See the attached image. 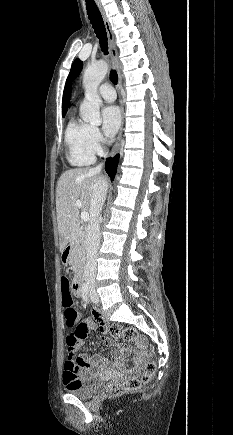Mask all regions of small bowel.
Listing matches in <instances>:
<instances>
[{
    "instance_id": "1",
    "label": "small bowel",
    "mask_w": 233,
    "mask_h": 435,
    "mask_svg": "<svg viewBox=\"0 0 233 435\" xmlns=\"http://www.w3.org/2000/svg\"><path fill=\"white\" fill-rule=\"evenodd\" d=\"M74 284L70 281L64 283L60 281V295L62 299L66 295L75 293ZM82 294V289H81ZM94 319L99 321V328L101 334L99 339L106 346L111 348V355L116 360H121L125 351L121 347L117 346L114 339L108 335L109 325L103 320L101 312L95 310L93 312ZM96 328V323L91 319L79 318V320L72 326V331L67 335V340L72 339L75 342L76 348H78L83 339L88 333ZM146 353V347L142 344L141 339L134 340V365L127 372L132 375H139L144 368L143 356ZM82 364H77L71 361L68 356L65 357L62 367V383L67 389H73L82 384L92 382L98 374H108L112 371L123 372V368L120 364L112 366L110 360L106 356L81 354L80 356Z\"/></svg>"
}]
</instances>
